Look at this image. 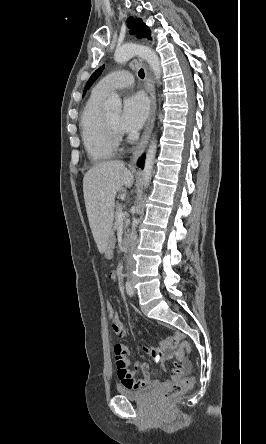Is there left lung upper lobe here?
Masks as SVG:
<instances>
[{
	"mask_svg": "<svg viewBox=\"0 0 266 444\" xmlns=\"http://www.w3.org/2000/svg\"><path fill=\"white\" fill-rule=\"evenodd\" d=\"M128 27L130 28V33L135 35L137 34V38H150V29L143 23L142 19L140 18H133L129 17L127 20ZM104 69V66L97 69L90 77L89 81L86 84L84 93L86 90L90 88V86L94 83V81L100 76L102 73V70Z\"/></svg>",
	"mask_w": 266,
	"mask_h": 444,
	"instance_id": "left-lung-upper-lobe-1",
	"label": "left lung upper lobe"
}]
</instances>
